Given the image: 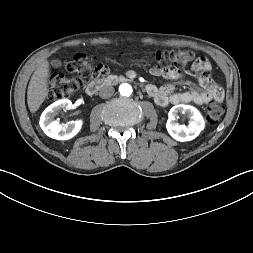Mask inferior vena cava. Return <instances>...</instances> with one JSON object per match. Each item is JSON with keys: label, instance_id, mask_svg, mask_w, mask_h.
<instances>
[{"label": "inferior vena cava", "instance_id": "obj_1", "mask_svg": "<svg viewBox=\"0 0 253 253\" xmlns=\"http://www.w3.org/2000/svg\"><path fill=\"white\" fill-rule=\"evenodd\" d=\"M114 94V88L112 86H103L99 90V96L103 99L109 98Z\"/></svg>", "mask_w": 253, "mask_h": 253}]
</instances>
